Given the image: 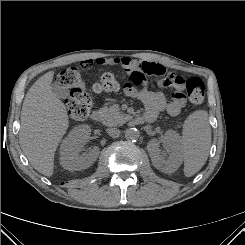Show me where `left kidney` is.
Returning a JSON list of instances; mask_svg holds the SVG:
<instances>
[{"label":"left kidney","mask_w":245,"mask_h":245,"mask_svg":"<svg viewBox=\"0 0 245 245\" xmlns=\"http://www.w3.org/2000/svg\"><path fill=\"white\" fill-rule=\"evenodd\" d=\"M160 143H163L167 153L161 152ZM147 150L153 165L162 172H174L182 163V141L174 130H168L160 140H150Z\"/></svg>","instance_id":"1"}]
</instances>
